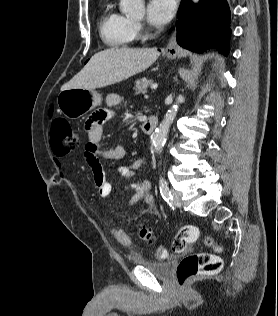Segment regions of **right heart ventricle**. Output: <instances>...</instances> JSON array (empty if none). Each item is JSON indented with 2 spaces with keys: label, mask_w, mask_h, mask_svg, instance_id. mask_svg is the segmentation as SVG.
Segmentation results:
<instances>
[{
  "label": "right heart ventricle",
  "mask_w": 278,
  "mask_h": 316,
  "mask_svg": "<svg viewBox=\"0 0 278 316\" xmlns=\"http://www.w3.org/2000/svg\"><path fill=\"white\" fill-rule=\"evenodd\" d=\"M131 20L115 10L111 2H106L99 18V32L102 41L110 47L126 46L133 40Z\"/></svg>",
  "instance_id": "right-heart-ventricle-1"
}]
</instances>
